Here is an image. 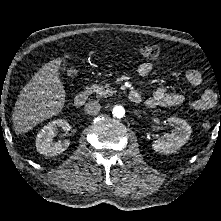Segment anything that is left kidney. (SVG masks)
Masks as SVG:
<instances>
[{"label": "left kidney", "instance_id": "5707ae66", "mask_svg": "<svg viewBox=\"0 0 221 221\" xmlns=\"http://www.w3.org/2000/svg\"><path fill=\"white\" fill-rule=\"evenodd\" d=\"M167 121L174 129L152 144L153 150L161 154L176 153L189 140L192 132L191 126L183 119L170 117Z\"/></svg>", "mask_w": 221, "mask_h": 221}]
</instances>
